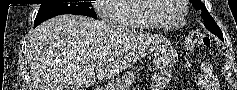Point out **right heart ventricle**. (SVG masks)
Masks as SVG:
<instances>
[{
    "label": "right heart ventricle",
    "mask_w": 237,
    "mask_h": 90,
    "mask_svg": "<svg viewBox=\"0 0 237 90\" xmlns=\"http://www.w3.org/2000/svg\"><path fill=\"white\" fill-rule=\"evenodd\" d=\"M116 4H111L110 9H107V13L110 16V24H116L114 28H149L147 20H143V17L138 15L143 13L139 11L138 2L143 0H120Z\"/></svg>",
    "instance_id": "right-heart-ventricle-1"
}]
</instances>
